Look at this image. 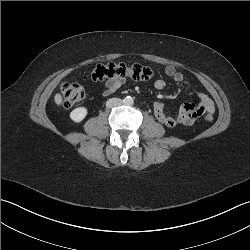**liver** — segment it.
Returning <instances> with one entry per match:
<instances>
[{
	"label": "liver",
	"instance_id": "obj_1",
	"mask_svg": "<svg viewBox=\"0 0 250 250\" xmlns=\"http://www.w3.org/2000/svg\"><path fill=\"white\" fill-rule=\"evenodd\" d=\"M54 101L58 106L61 105L63 103V98H62L61 94H59V93L55 94Z\"/></svg>",
	"mask_w": 250,
	"mask_h": 250
}]
</instances>
